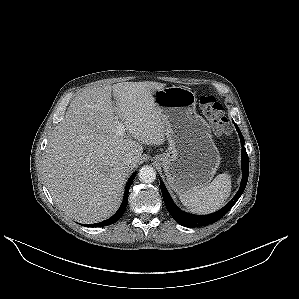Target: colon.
Wrapping results in <instances>:
<instances>
[{
	"instance_id": "obj_1",
	"label": "colon",
	"mask_w": 299,
	"mask_h": 299,
	"mask_svg": "<svg viewBox=\"0 0 299 299\" xmlns=\"http://www.w3.org/2000/svg\"><path fill=\"white\" fill-rule=\"evenodd\" d=\"M200 107L210 121L212 129L217 135H228L231 131L224 109L213 95H203L199 99Z\"/></svg>"
}]
</instances>
